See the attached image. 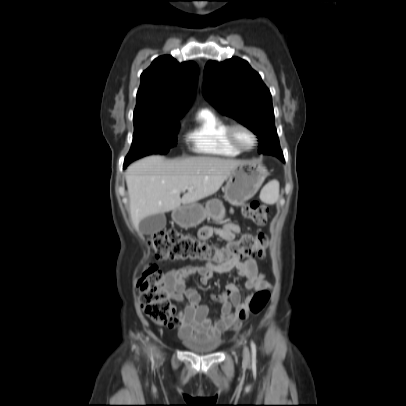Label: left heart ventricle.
I'll return each mask as SVG.
<instances>
[{"label": "left heart ventricle", "instance_id": "b2bd125f", "mask_svg": "<svg viewBox=\"0 0 406 406\" xmlns=\"http://www.w3.org/2000/svg\"><path fill=\"white\" fill-rule=\"evenodd\" d=\"M236 137L243 146L249 147L253 143L251 135L246 130L238 129L236 131Z\"/></svg>", "mask_w": 406, "mask_h": 406}]
</instances>
